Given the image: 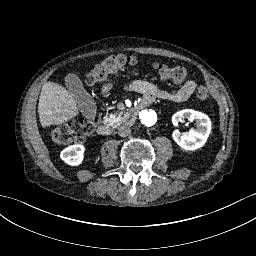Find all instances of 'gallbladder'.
<instances>
[{
  "label": "gallbladder",
  "instance_id": "obj_1",
  "mask_svg": "<svg viewBox=\"0 0 256 256\" xmlns=\"http://www.w3.org/2000/svg\"><path fill=\"white\" fill-rule=\"evenodd\" d=\"M65 87L73 94L81 114L86 119H91L97 114L96 102L90 93L84 88L78 72H68L64 77Z\"/></svg>",
  "mask_w": 256,
  "mask_h": 256
}]
</instances>
